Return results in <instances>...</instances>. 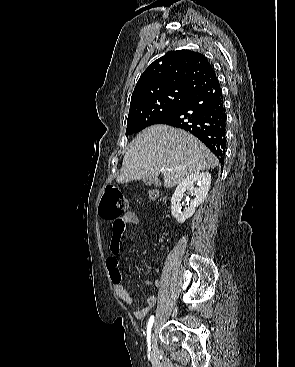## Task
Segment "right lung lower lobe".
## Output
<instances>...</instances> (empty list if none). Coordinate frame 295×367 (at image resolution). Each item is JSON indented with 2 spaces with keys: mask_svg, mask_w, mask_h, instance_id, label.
Returning a JSON list of instances; mask_svg holds the SVG:
<instances>
[{
  "mask_svg": "<svg viewBox=\"0 0 295 367\" xmlns=\"http://www.w3.org/2000/svg\"><path fill=\"white\" fill-rule=\"evenodd\" d=\"M156 124H166L192 133L220 162L224 161L226 114L217 79L193 92L175 111Z\"/></svg>",
  "mask_w": 295,
  "mask_h": 367,
  "instance_id": "right-lung-lower-lobe-1",
  "label": "right lung lower lobe"
}]
</instances>
